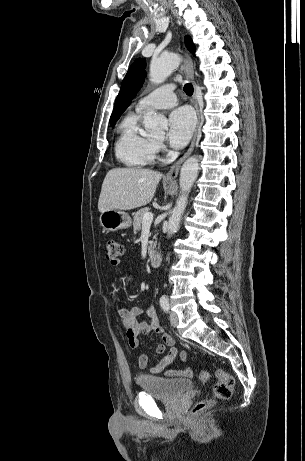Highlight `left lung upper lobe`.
Segmentation results:
<instances>
[{
	"label": "left lung upper lobe",
	"mask_w": 305,
	"mask_h": 461,
	"mask_svg": "<svg viewBox=\"0 0 305 461\" xmlns=\"http://www.w3.org/2000/svg\"><path fill=\"white\" fill-rule=\"evenodd\" d=\"M185 44L188 50L194 52L195 47L190 37L185 38ZM146 62L142 58L136 59L122 81L120 92L116 98L113 113L110 117V124L114 123L120 118L122 113L127 109L132 99L136 96L137 92L142 87L145 78Z\"/></svg>",
	"instance_id": "left-lung-upper-lobe-1"
}]
</instances>
